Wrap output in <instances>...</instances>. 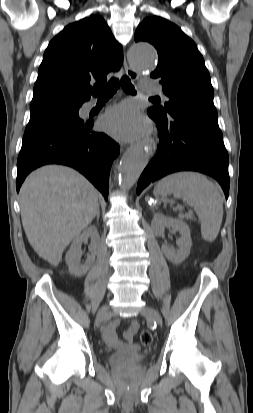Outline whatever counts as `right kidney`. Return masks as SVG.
I'll return each mask as SVG.
<instances>
[{"instance_id":"ca27d5eb","label":"right kidney","mask_w":253,"mask_h":413,"mask_svg":"<svg viewBox=\"0 0 253 413\" xmlns=\"http://www.w3.org/2000/svg\"><path fill=\"white\" fill-rule=\"evenodd\" d=\"M91 240L90 254L87 256V260L84 264H81V245ZM100 248V236L95 226L86 228L81 235L76 237L66 253L65 260L68 265L69 272L75 276H83L92 267L95 256Z\"/></svg>"}]
</instances>
